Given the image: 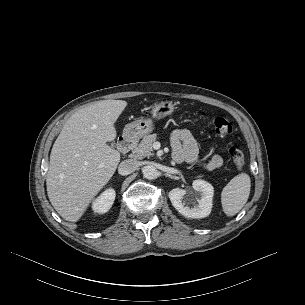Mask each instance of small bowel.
Masks as SVG:
<instances>
[{
    "mask_svg": "<svg viewBox=\"0 0 305 305\" xmlns=\"http://www.w3.org/2000/svg\"><path fill=\"white\" fill-rule=\"evenodd\" d=\"M172 157L180 162L198 164L206 170H214L223 164L220 154L214 155L209 161H203L199 157V150L193 135L185 129L175 130L171 135Z\"/></svg>",
    "mask_w": 305,
    "mask_h": 305,
    "instance_id": "obj_1",
    "label": "small bowel"
}]
</instances>
